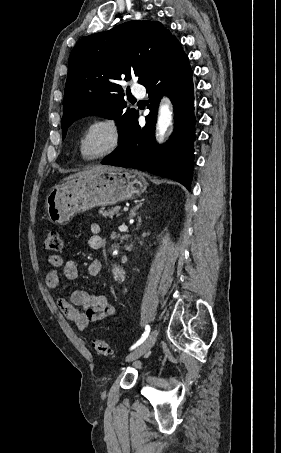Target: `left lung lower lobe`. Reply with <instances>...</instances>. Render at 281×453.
Masks as SVG:
<instances>
[{"label": "left lung lower lobe", "instance_id": "1", "mask_svg": "<svg viewBox=\"0 0 281 453\" xmlns=\"http://www.w3.org/2000/svg\"><path fill=\"white\" fill-rule=\"evenodd\" d=\"M143 85L151 101L146 126L141 128L136 120L118 148L101 163L148 171L178 181L190 190L195 140L194 87L189 59L175 37ZM163 95H168L174 105L175 130L164 145L158 146L154 133Z\"/></svg>", "mask_w": 281, "mask_h": 453}]
</instances>
